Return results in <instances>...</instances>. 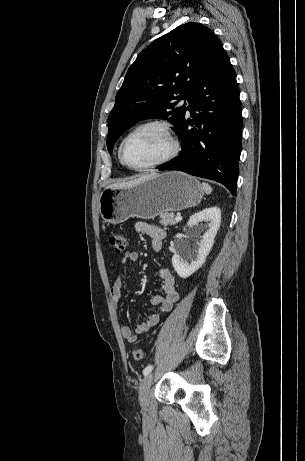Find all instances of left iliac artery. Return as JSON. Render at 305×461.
Here are the masks:
<instances>
[{
  "label": "left iliac artery",
  "mask_w": 305,
  "mask_h": 461,
  "mask_svg": "<svg viewBox=\"0 0 305 461\" xmlns=\"http://www.w3.org/2000/svg\"><path fill=\"white\" fill-rule=\"evenodd\" d=\"M153 369V366L152 365H148L144 370H143V374L144 376L148 375Z\"/></svg>",
  "instance_id": "obj_1"
}]
</instances>
